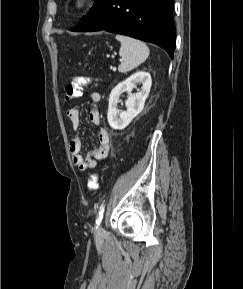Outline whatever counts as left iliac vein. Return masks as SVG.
Returning a JSON list of instances; mask_svg holds the SVG:
<instances>
[{
	"instance_id": "obj_1",
	"label": "left iliac vein",
	"mask_w": 243,
	"mask_h": 289,
	"mask_svg": "<svg viewBox=\"0 0 243 289\" xmlns=\"http://www.w3.org/2000/svg\"><path fill=\"white\" fill-rule=\"evenodd\" d=\"M97 233H100L102 231V227L101 226H98L97 229H96Z\"/></svg>"
}]
</instances>
